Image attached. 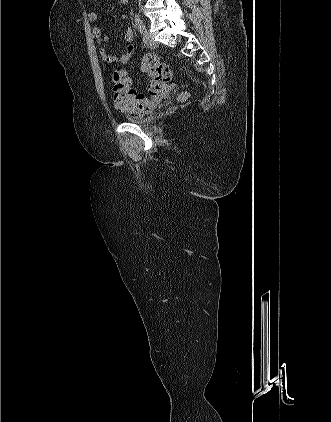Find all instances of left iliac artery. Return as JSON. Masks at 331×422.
Returning a JSON list of instances; mask_svg holds the SVG:
<instances>
[{"label":"left iliac artery","instance_id":"left-iliac-artery-1","mask_svg":"<svg viewBox=\"0 0 331 422\" xmlns=\"http://www.w3.org/2000/svg\"><path fill=\"white\" fill-rule=\"evenodd\" d=\"M135 23L141 34L146 31V27L138 14H135Z\"/></svg>","mask_w":331,"mask_h":422}]
</instances>
